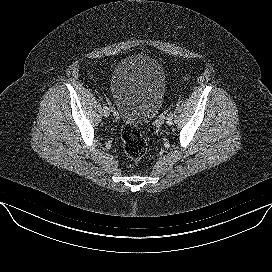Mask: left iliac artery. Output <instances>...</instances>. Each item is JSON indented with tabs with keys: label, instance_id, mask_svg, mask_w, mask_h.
Here are the masks:
<instances>
[{
	"label": "left iliac artery",
	"instance_id": "44dca946",
	"mask_svg": "<svg viewBox=\"0 0 272 272\" xmlns=\"http://www.w3.org/2000/svg\"><path fill=\"white\" fill-rule=\"evenodd\" d=\"M167 116H173V111H167Z\"/></svg>",
	"mask_w": 272,
	"mask_h": 272
}]
</instances>
